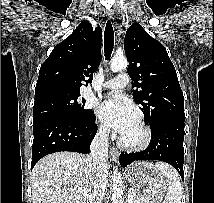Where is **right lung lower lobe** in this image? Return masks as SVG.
Wrapping results in <instances>:
<instances>
[{
	"mask_svg": "<svg viewBox=\"0 0 214 203\" xmlns=\"http://www.w3.org/2000/svg\"><path fill=\"white\" fill-rule=\"evenodd\" d=\"M96 132L94 114L87 120L54 116L33 122L31 169L42 157L51 153H89Z\"/></svg>",
	"mask_w": 214,
	"mask_h": 203,
	"instance_id": "obj_1",
	"label": "right lung lower lobe"
}]
</instances>
